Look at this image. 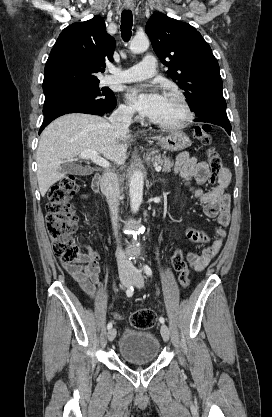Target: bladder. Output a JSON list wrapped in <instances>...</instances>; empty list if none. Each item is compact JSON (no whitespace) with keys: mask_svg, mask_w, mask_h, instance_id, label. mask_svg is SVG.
<instances>
[{"mask_svg":"<svg viewBox=\"0 0 272 417\" xmlns=\"http://www.w3.org/2000/svg\"><path fill=\"white\" fill-rule=\"evenodd\" d=\"M160 348V341L153 333L130 328L123 331L118 343L120 356L131 364L155 361Z\"/></svg>","mask_w":272,"mask_h":417,"instance_id":"bladder-1","label":"bladder"}]
</instances>
